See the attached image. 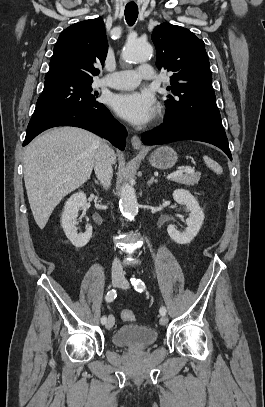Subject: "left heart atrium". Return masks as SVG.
<instances>
[{
	"label": "left heart atrium",
	"mask_w": 265,
	"mask_h": 407,
	"mask_svg": "<svg viewBox=\"0 0 265 407\" xmlns=\"http://www.w3.org/2000/svg\"><path fill=\"white\" fill-rule=\"evenodd\" d=\"M110 105L123 119L134 125L149 122L155 115L154 97L147 92H122L112 96Z\"/></svg>",
	"instance_id": "39dd6f15"
}]
</instances>
